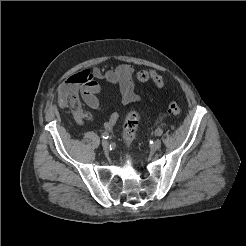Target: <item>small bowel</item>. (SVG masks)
Wrapping results in <instances>:
<instances>
[{"label":"small bowel","mask_w":246,"mask_h":246,"mask_svg":"<svg viewBox=\"0 0 246 246\" xmlns=\"http://www.w3.org/2000/svg\"><path fill=\"white\" fill-rule=\"evenodd\" d=\"M134 68L129 64H121L112 69H84L69 77L58 92V103L61 108H70L76 121L83 123L91 120L92 115L83 107V103L95 110H101L98 95L101 86L98 79H104L118 89L119 101L127 106L140 101L139 95L134 91ZM119 114L112 112L109 119L103 123L107 131H111Z\"/></svg>","instance_id":"1"}]
</instances>
